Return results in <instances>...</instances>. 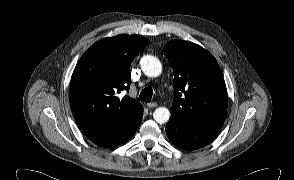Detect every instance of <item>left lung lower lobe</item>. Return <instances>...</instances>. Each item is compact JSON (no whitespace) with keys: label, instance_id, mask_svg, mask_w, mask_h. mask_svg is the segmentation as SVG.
<instances>
[{"label":"left lung lower lobe","instance_id":"obj_1","mask_svg":"<svg viewBox=\"0 0 294 180\" xmlns=\"http://www.w3.org/2000/svg\"><path fill=\"white\" fill-rule=\"evenodd\" d=\"M221 127V124L190 125L171 116L165 130L173 144L184 150H195L211 143Z\"/></svg>","mask_w":294,"mask_h":180}]
</instances>
